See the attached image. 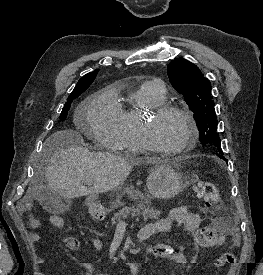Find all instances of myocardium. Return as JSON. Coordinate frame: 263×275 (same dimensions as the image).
<instances>
[{"instance_id": "1", "label": "myocardium", "mask_w": 263, "mask_h": 275, "mask_svg": "<svg viewBox=\"0 0 263 275\" xmlns=\"http://www.w3.org/2000/svg\"><path fill=\"white\" fill-rule=\"evenodd\" d=\"M169 114H176L183 117L189 125V134L187 139L180 147L176 149H164L159 147L154 142L151 134L152 120ZM140 131L146 149L162 156H175L191 149L196 144L199 134L198 125L193 114L183 107L172 104H159L151 107L141 119Z\"/></svg>"}]
</instances>
